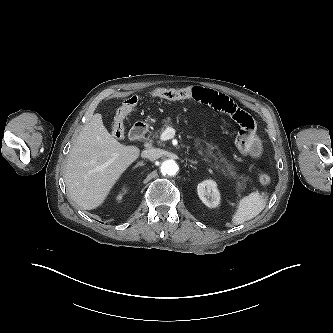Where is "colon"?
Returning a JSON list of instances; mask_svg holds the SVG:
<instances>
[{
    "instance_id": "colon-1",
    "label": "colon",
    "mask_w": 333,
    "mask_h": 333,
    "mask_svg": "<svg viewBox=\"0 0 333 333\" xmlns=\"http://www.w3.org/2000/svg\"><path fill=\"white\" fill-rule=\"evenodd\" d=\"M152 97H158L166 100H182L192 98V91L188 88L173 89V88H157L150 93ZM138 102L137 96H131L127 98L122 105L117 109L114 121L112 124V134L117 138L124 136L125 128L124 122L128 115L132 112ZM259 182L263 185H267L271 182V177L268 173L262 172L259 174Z\"/></svg>"
}]
</instances>
